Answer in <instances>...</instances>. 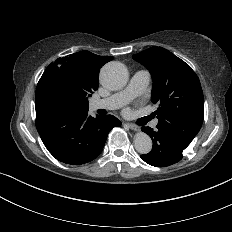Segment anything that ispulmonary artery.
Here are the masks:
<instances>
[{
	"label": "pulmonary artery",
	"mask_w": 232,
	"mask_h": 232,
	"mask_svg": "<svg viewBox=\"0 0 232 232\" xmlns=\"http://www.w3.org/2000/svg\"><path fill=\"white\" fill-rule=\"evenodd\" d=\"M150 81V74L146 70H138L130 77V84L123 92L108 94L104 99L95 98L91 106L93 110L127 108L131 103L145 94L146 84ZM157 120L152 122L156 126Z\"/></svg>",
	"instance_id": "e3ab8cb5"
}]
</instances>
